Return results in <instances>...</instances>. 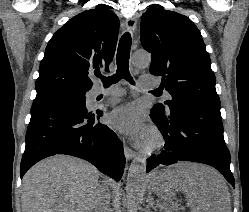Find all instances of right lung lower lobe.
<instances>
[{
    "label": "right lung lower lobe",
    "instance_id": "98d812e1",
    "mask_svg": "<svg viewBox=\"0 0 249 212\" xmlns=\"http://www.w3.org/2000/svg\"><path fill=\"white\" fill-rule=\"evenodd\" d=\"M102 109L74 103H34L26 133L21 178L35 163L55 154L88 160L119 181L125 157L117 135L99 122Z\"/></svg>",
    "mask_w": 249,
    "mask_h": 212
}]
</instances>
